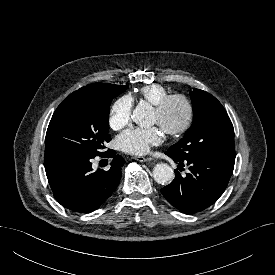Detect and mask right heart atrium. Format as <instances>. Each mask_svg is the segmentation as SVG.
Wrapping results in <instances>:
<instances>
[{
	"label": "right heart atrium",
	"mask_w": 275,
	"mask_h": 275,
	"mask_svg": "<svg viewBox=\"0 0 275 275\" xmlns=\"http://www.w3.org/2000/svg\"><path fill=\"white\" fill-rule=\"evenodd\" d=\"M133 99L125 95L118 98L112 105L109 113V125L113 130H120L129 124Z\"/></svg>",
	"instance_id": "1"
}]
</instances>
